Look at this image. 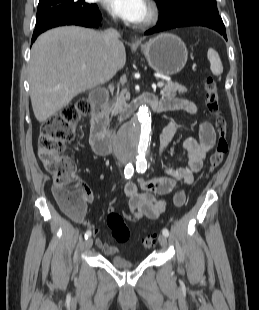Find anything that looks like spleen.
<instances>
[{"label": "spleen", "instance_id": "3e777b00", "mask_svg": "<svg viewBox=\"0 0 259 310\" xmlns=\"http://www.w3.org/2000/svg\"><path fill=\"white\" fill-rule=\"evenodd\" d=\"M207 58L210 62V69L214 75H220L223 72V65L219 54L212 48L208 49Z\"/></svg>", "mask_w": 259, "mask_h": 310}]
</instances>
